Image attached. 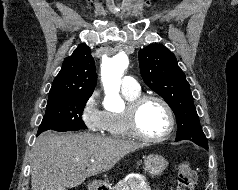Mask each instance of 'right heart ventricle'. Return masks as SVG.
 <instances>
[{"instance_id": "right-heart-ventricle-1", "label": "right heart ventricle", "mask_w": 238, "mask_h": 190, "mask_svg": "<svg viewBox=\"0 0 238 190\" xmlns=\"http://www.w3.org/2000/svg\"><path fill=\"white\" fill-rule=\"evenodd\" d=\"M138 92L123 91V95L126 101L129 103L135 98L140 96ZM106 131L114 137L130 138L133 135L130 133L127 121H126V109L120 112H107L106 118Z\"/></svg>"}]
</instances>
